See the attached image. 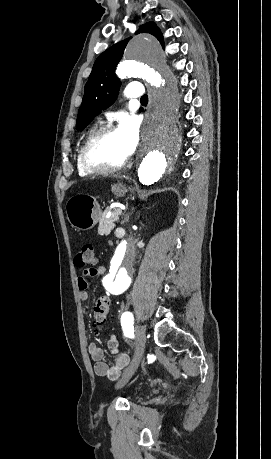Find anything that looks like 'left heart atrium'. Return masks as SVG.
I'll return each instance as SVG.
<instances>
[{"label": "left heart atrium", "instance_id": "left-heart-atrium-1", "mask_svg": "<svg viewBox=\"0 0 271 459\" xmlns=\"http://www.w3.org/2000/svg\"><path fill=\"white\" fill-rule=\"evenodd\" d=\"M118 131L125 139L130 153L133 152L140 140L141 119L136 116L125 115L119 122Z\"/></svg>", "mask_w": 271, "mask_h": 459}]
</instances>
